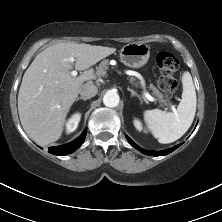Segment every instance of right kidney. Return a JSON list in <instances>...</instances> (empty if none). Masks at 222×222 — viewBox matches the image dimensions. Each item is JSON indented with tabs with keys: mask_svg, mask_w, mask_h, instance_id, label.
Instances as JSON below:
<instances>
[{
	"mask_svg": "<svg viewBox=\"0 0 222 222\" xmlns=\"http://www.w3.org/2000/svg\"><path fill=\"white\" fill-rule=\"evenodd\" d=\"M80 119H81L80 113L73 114L72 117L66 123V132L67 133L74 132L78 127Z\"/></svg>",
	"mask_w": 222,
	"mask_h": 222,
	"instance_id": "obj_1",
	"label": "right kidney"
}]
</instances>
